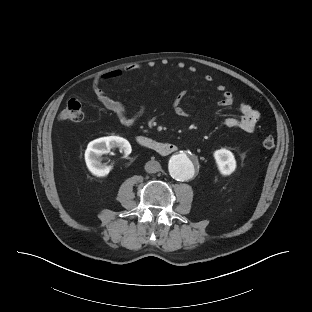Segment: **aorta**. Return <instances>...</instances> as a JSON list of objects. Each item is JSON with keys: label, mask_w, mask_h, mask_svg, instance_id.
<instances>
[{"label": "aorta", "mask_w": 312, "mask_h": 312, "mask_svg": "<svg viewBox=\"0 0 312 312\" xmlns=\"http://www.w3.org/2000/svg\"><path fill=\"white\" fill-rule=\"evenodd\" d=\"M168 169L174 179L186 181L194 176L197 170V161L191 156L178 154L170 159Z\"/></svg>", "instance_id": "obj_1"}]
</instances>
